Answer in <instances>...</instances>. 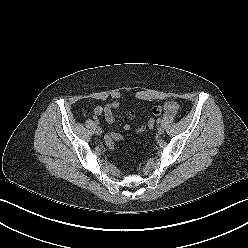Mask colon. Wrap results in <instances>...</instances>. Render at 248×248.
<instances>
[{
	"mask_svg": "<svg viewBox=\"0 0 248 248\" xmlns=\"http://www.w3.org/2000/svg\"><path fill=\"white\" fill-rule=\"evenodd\" d=\"M155 126V120L153 118L148 119L147 121V127L149 129H153ZM123 139L122 135L119 133H111L107 138H106V145L108 148L112 149L114 147V142L115 141H121Z\"/></svg>",
	"mask_w": 248,
	"mask_h": 248,
	"instance_id": "obj_1",
	"label": "colon"
}]
</instances>
